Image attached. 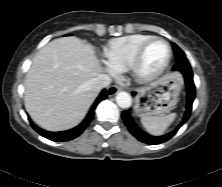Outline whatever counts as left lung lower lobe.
Segmentation results:
<instances>
[{"label": "left lung lower lobe", "mask_w": 222, "mask_h": 187, "mask_svg": "<svg viewBox=\"0 0 222 187\" xmlns=\"http://www.w3.org/2000/svg\"><path fill=\"white\" fill-rule=\"evenodd\" d=\"M174 71H180L185 79V84H186V90H187V106H186V111L184 113V116L181 120V122L178 124V126L171 131L168 134L162 135V136H151L146 134L145 132L141 131L137 125L135 124L133 118L131 117L130 111H124L122 113V118L124 120L125 125L128 127L130 133L136 137L139 141L146 143V144H151V145H156L160 144L163 142H166L169 140L171 137H173L176 132L179 130V128L187 122V120L190 117L191 110H192V104L195 99V85L193 81V73L191 70V66L189 62H177L174 67ZM135 95V93H133Z\"/></svg>", "instance_id": "0a47b994"}]
</instances>
